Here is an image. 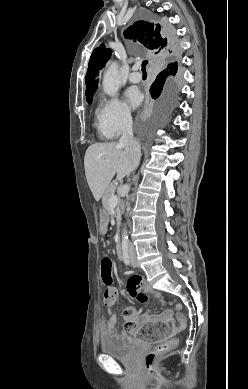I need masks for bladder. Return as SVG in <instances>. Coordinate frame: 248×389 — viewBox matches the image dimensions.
I'll return each instance as SVG.
<instances>
[{"label": "bladder", "instance_id": "31cf9c89", "mask_svg": "<svg viewBox=\"0 0 248 389\" xmlns=\"http://www.w3.org/2000/svg\"><path fill=\"white\" fill-rule=\"evenodd\" d=\"M138 344L119 333L102 336L99 340L101 353L117 359H130L138 350Z\"/></svg>", "mask_w": 248, "mask_h": 389}]
</instances>
